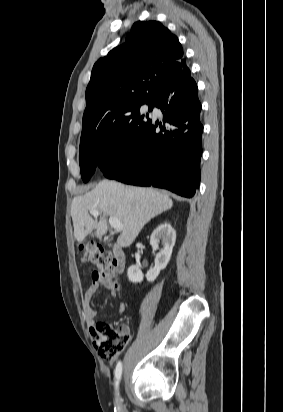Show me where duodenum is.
Here are the masks:
<instances>
[{
	"instance_id": "obj_1",
	"label": "duodenum",
	"mask_w": 283,
	"mask_h": 412,
	"mask_svg": "<svg viewBox=\"0 0 283 412\" xmlns=\"http://www.w3.org/2000/svg\"><path fill=\"white\" fill-rule=\"evenodd\" d=\"M113 259L116 264V268L119 272L124 269L125 266V254L120 246L116 245L112 251Z\"/></svg>"
}]
</instances>
